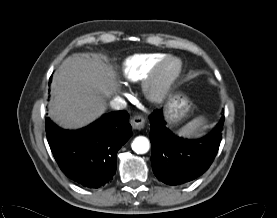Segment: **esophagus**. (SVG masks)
I'll return each instance as SVG.
<instances>
[{
  "label": "esophagus",
  "instance_id": "34e87169",
  "mask_svg": "<svg viewBox=\"0 0 277 218\" xmlns=\"http://www.w3.org/2000/svg\"><path fill=\"white\" fill-rule=\"evenodd\" d=\"M131 126L133 129L141 130L145 126V119L142 115H135L131 119Z\"/></svg>",
  "mask_w": 277,
  "mask_h": 218
}]
</instances>
